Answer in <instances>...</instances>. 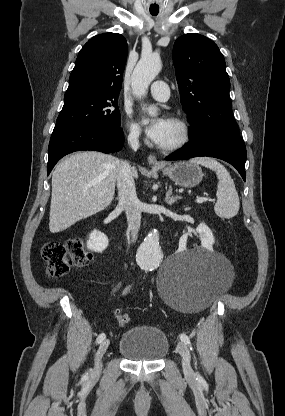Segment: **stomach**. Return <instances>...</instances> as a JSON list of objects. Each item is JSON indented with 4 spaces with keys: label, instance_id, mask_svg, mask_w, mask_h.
<instances>
[{
    "label": "stomach",
    "instance_id": "1",
    "mask_svg": "<svg viewBox=\"0 0 285 416\" xmlns=\"http://www.w3.org/2000/svg\"><path fill=\"white\" fill-rule=\"evenodd\" d=\"M156 170H162L164 176H168L178 186L182 188H194L200 184L203 178V172L198 164H191V162H177L173 166H156Z\"/></svg>",
    "mask_w": 285,
    "mask_h": 416
}]
</instances>
